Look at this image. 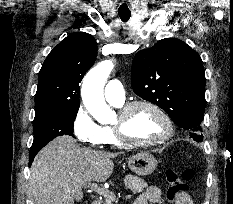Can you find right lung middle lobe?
Segmentation results:
<instances>
[{"mask_svg":"<svg viewBox=\"0 0 233 204\" xmlns=\"http://www.w3.org/2000/svg\"><path fill=\"white\" fill-rule=\"evenodd\" d=\"M79 107L51 109L35 114L32 147H44L57 136L72 135ZM74 137V136H73Z\"/></svg>","mask_w":233,"mask_h":204,"instance_id":"1","label":"right lung middle lobe"}]
</instances>
